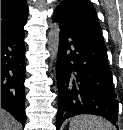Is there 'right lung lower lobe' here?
I'll return each mask as SVG.
<instances>
[{"label": "right lung lower lobe", "mask_w": 123, "mask_h": 130, "mask_svg": "<svg viewBox=\"0 0 123 130\" xmlns=\"http://www.w3.org/2000/svg\"><path fill=\"white\" fill-rule=\"evenodd\" d=\"M24 26L1 30V107L25 126Z\"/></svg>", "instance_id": "1"}]
</instances>
